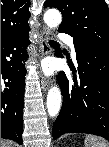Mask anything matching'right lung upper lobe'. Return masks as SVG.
<instances>
[{
  "label": "right lung upper lobe",
  "instance_id": "right-lung-upper-lobe-1",
  "mask_svg": "<svg viewBox=\"0 0 109 147\" xmlns=\"http://www.w3.org/2000/svg\"><path fill=\"white\" fill-rule=\"evenodd\" d=\"M29 0L1 1V40L29 29Z\"/></svg>",
  "mask_w": 109,
  "mask_h": 147
}]
</instances>
